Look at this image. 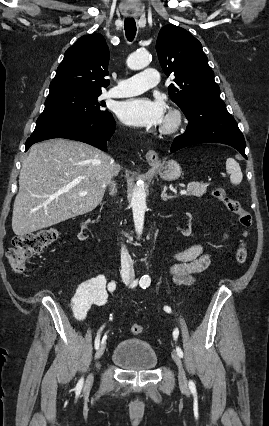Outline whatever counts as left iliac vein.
Instances as JSON below:
<instances>
[{"mask_svg":"<svg viewBox=\"0 0 269 426\" xmlns=\"http://www.w3.org/2000/svg\"><path fill=\"white\" fill-rule=\"evenodd\" d=\"M171 355H172L173 361L176 363V365L178 366V369H179V375H178L179 384H180L181 388L187 389L188 383H187L186 374H185V371H184V368H183V365H182V361H181L179 355L175 351H172Z\"/></svg>","mask_w":269,"mask_h":426,"instance_id":"1","label":"left iliac vein"}]
</instances>
